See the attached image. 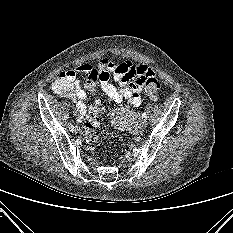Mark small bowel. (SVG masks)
I'll return each instance as SVG.
<instances>
[{"mask_svg": "<svg viewBox=\"0 0 233 233\" xmlns=\"http://www.w3.org/2000/svg\"><path fill=\"white\" fill-rule=\"evenodd\" d=\"M100 71L106 72L113 81L109 79L101 82L103 92L115 102L127 100L130 105L138 107L141 104L140 92L145 80L150 76H155V71L145 64L134 65L130 61L116 64L113 61L103 58L99 61ZM94 67L89 63H84L73 67L65 72L68 76L71 88L62 96L69 98L76 104V118L81 122L86 113L87 94L80 87V81L77 78L79 73L89 74Z\"/></svg>", "mask_w": 233, "mask_h": 233, "instance_id": "small-bowel-1", "label": "small bowel"}]
</instances>
